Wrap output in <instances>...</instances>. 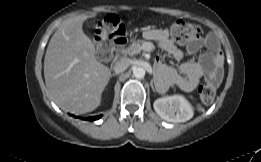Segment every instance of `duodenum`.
<instances>
[{
  "label": "duodenum",
  "instance_id": "410a0bca",
  "mask_svg": "<svg viewBox=\"0 0 261 162\" xmlns=\"http://www.w3.org/2000/svg\"><path fill=\"white\" fill-rule=\"evenodd\" d=\"M125 43L126 42L118 44V45H114L113 47L116 51H118L120 54H122V51L124 50Z\"/></svg>",
  "mask_w": 261,
  "mask_h": 162
}]
</instances>
